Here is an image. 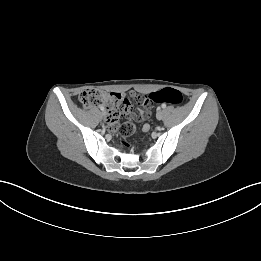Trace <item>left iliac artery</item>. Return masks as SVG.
Here are the masks:
<instances>
[{
    "label": "left iliac artery",
    "mask_w": 261,
    "mask_h": 261,
    "mask_svg": "<svg viewBox=\"0 0 261 261\" xmlns=\"http://www.w3.org/2000/svg\"><path fill=\"white\" fill-rule=\"evenodd\" d=\"M161 107H162V108H166V104H165V103H163Z\"/></svg>",
    "instance_id": "left-iliac-artery-1"
}]
</instances>
